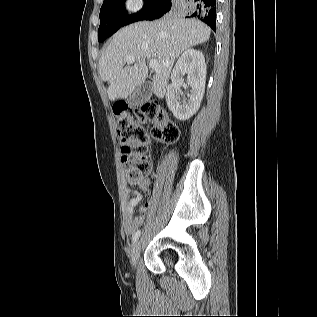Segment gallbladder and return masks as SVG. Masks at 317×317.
Listing matches in <instances>:
<instances>
[{"label": "gallbladder", "instance_id": "gallbladder-1", "mask_svg": "<svg viewBox=\"0 0 317 317\" xmlns=\"http://www.w3.org/2000/svg\"><path fill=\"white\" fill-rule=\"evenodd\" d=\"M151 90H152L151 82L147 81L143 83L132 95L129 96L128 102L131 105H138L144 102L151 95L152 93Z\"/></svg>", "mask_w": 317, "mask_h": 317}]
</instances>
